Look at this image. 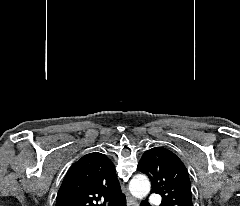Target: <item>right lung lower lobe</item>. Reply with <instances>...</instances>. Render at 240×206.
<instances>
[{
    "label": "right lung lower lobe",
    "instance_id": "right-lung-lower-lobe-1",
    "mask_svg": "<svg viewBox=\"0 0 240 206\" xmlns=\"http://www.w3.org/2000/svg\"><path fill=\"white\" fill-rule=\"evenodd\" d=\"M109 206H126V198L121 193L117 198L110 201Z\"/></svg>",
    "mask_w": 240,
    "mask_h": 206
}]
</instances>
